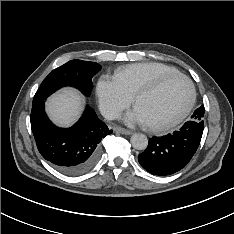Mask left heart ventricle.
Segmentation results:
<instances>
[{
  "instance_id": "b2bd125f",
  "label": "left heart ventricle",
  "mask_w": 234,
  "mask_h": 234,
  "mask_svg": "<svg viewBox=\"0 0 234 234\" xmlns=\"http://www.w3.org/2000/svg\"><path fill=\"white\" fill-rule=\"evenodd\" d=\"M190 98L188 84L179 78L166 82L157 91L141 97L136 104L148 124H160L177 117Z\"/></svg>"
}]
</instances>
